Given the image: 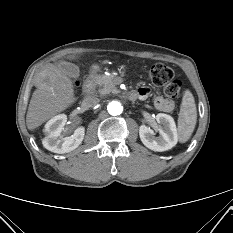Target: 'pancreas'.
<instances>
[{
  "label": "pancreas",
  "instance_id": "obj_1",
  "mask_svg": "<svg viewBox=\"0 0 233 233\" xmlns=\"http://www.w3.org/2000/svg\"><path fill=\"white\" fill-rule=\"evenodd\" d=\"M91 81L94 88L97 89L101 95L114 93L116 91L115 76L113 75H95L92 77Z\"/></svg>",
  "mask_w": 233,
  "mask_h": 233
}]
</instances>
